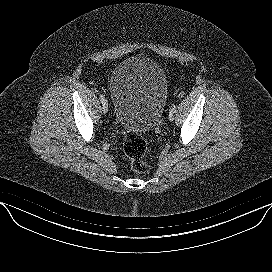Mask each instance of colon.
Wrapping results in <instances>:
<instances>
[{"mask_svg": "<svg viewBox=\"0 0 272 272\" xmlns=\"http://www.w3.org/2000/svg\"><path fill=\"white\" fill-rule=\"evenodd\" d=\"M124 152L130 160L131 169L136 173H146L150 170L149 163L145 160L147 143L139 134L128 133L124 137Z\"/></svg>", "mask_w": 272, "mask_h": 272, "instance_id": "colon-1", "label": "colon"}]
</instances>
